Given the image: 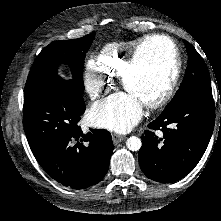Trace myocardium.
<instances>
[{"mask_svg":"<svg viewBox=\"0 0 221 221\" xmlns=\"http://www.w3.org/2000/svg\"><path fill=\"white\" fill-rule=\"evenodd\" d=\"M154 39H163L168 42L172 52L173 67L172 70L170 71L168 81L165 84L164 88L161 91L156 92L152 100L143 103V105L149 109H157L163 106L170 99V97L172 96L175 90L177 80L181 72L182 61L178 47L174 39L169 35L163 33L150 34L142 37L131 50L127 63L119 76L120 85L126 91L127 78L131 73V71L133 70V68L135 67L142 48L148 42Z\"/></svg>","mask_w":221,"mask_h":221,"instance_id":"1","label":"myocardium"}]
</instances>
